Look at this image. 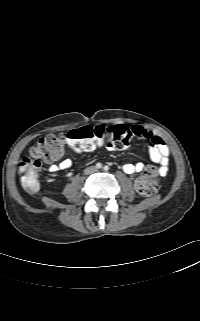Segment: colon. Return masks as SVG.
Returning a JSON list of instances; mask_svg holds the SVG:
<instances>
[{
	"mask_svg": "<svg viewBox=\"0 0 200 321\" xmlns=\"http://www.w3.org/2000/svg\"><path fill=\"white\" fill-rule=\"evenodd\" d=\"M133 136L131 127L125 125H116L113 128L82 126L68 131L65 135H46L31 148L29 156L20 160L21 184L27 192H37L38 173L42 164L60 155L65 143L79 151H91L107 139L112 141L117 149H124ZM159 175L156 168L147 167L135 181L136 191L144 197L155 195L160 186Z\"/></svg>",
	"mask_w": 200,
	"mask_h": 321,
	"instance_id": "colon-1",
	"label": "colon"
}]
</instances>
